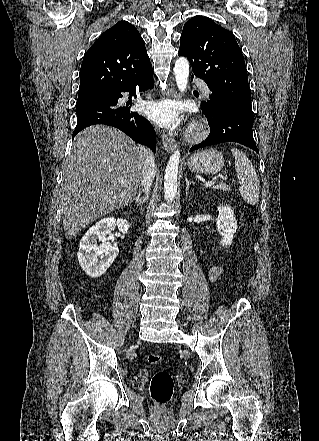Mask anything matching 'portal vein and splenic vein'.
Returning <instances> with one entry per match:
<instances>
[{"mask_svg":"<svg viewBox=\"0 0 319 441\" xmlns=\"http://www.w3.org/2000/svg\"><path fill=\"white\" fill-rule=\"evenodd\" d=\"M215 181H216V178L213 179V180H211V181L206 182L204 185H205V187H210V186H212V185L215 184ZM118 182L123 183V182H124V179L119 178V179H118Z\"/></svg>","mask_w":319,"mask_h":441,"instance_id":"portal-vein-and-splenic-vein-1","label":"portal vein and splenic vein"}]
</instances>
